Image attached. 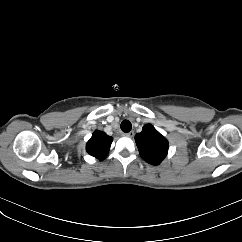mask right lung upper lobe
Here are the masks:
<instances>
[{
    "instance_id": "1",
    "label": "right lung upper lobe",
    "mask_w": 242,
    "mask_h": 242,
    "mask_svg": "<svg viewBox=\"0 0 242 242\" xmlns=\"http://www.w3.org/2000/svg\"><path fill=\"white\" fill-rule=\"evenodd\" d=\"M112 137L106 133L96 130L86 145L87 152L99 160H103L110 149Z\"/></svg>"
}]
</instances>
